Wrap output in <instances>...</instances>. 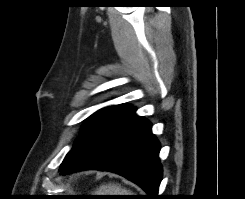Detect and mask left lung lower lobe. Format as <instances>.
<instances>
[{
	"label": "left lung lower lobe",
	"instance_id": "left-lung-lower-lobe-1",
	"mask_svg": "<svg viewBox=\"0 0 245 199\" xmlns=\"http://www.w3.org/2000/svg\"><path fill=\"white\" fill-rule=\"evenodd\" d=\"M135 111L130 106L108 123L60 174L88 169L115 172L144 189L146 199H158L162 179L160 144L151 133V124Z\"/></svg>",
	"mask_w": 245,
	"mask_h": 199
}]
</instances>
